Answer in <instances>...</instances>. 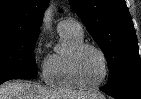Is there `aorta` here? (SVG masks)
Returning a JSON list of instances; mask_svg holds the SVG:
<instances>
[{"instance_id": "aorta-1", "label": "aorta", "mask_w": 141, "mask_h": 99, "mask_svg": "<svg viewBox=\"0 0 141 99\" xmlns=\"http://www.w3.org/2000/svg\"><path fill=\"white\" fill-rule=\"evenodd\" d=\"M54 11H55V4L51 3L49 8L46 10L45 15L43 17V26L46 30L51 29Z\"/></svg>"}]
</instances>
